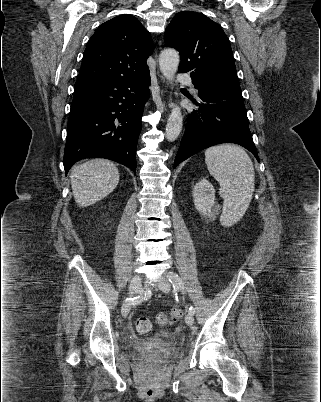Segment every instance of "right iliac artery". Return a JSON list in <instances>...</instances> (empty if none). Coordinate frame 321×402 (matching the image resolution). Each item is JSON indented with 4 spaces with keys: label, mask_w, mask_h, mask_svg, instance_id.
<instances>
[{
    "label": "right iliac artery",
    "mask_w": 321,
    "mask_h": 402,
    "mask_svg": "<svg viewBox=\"0 0 321 402\" xmlns=\"http://www.w3.org/2000/svg\"><path fill=\"white\" fill-rule=\"evenodd\" d=\"M139 298V297H138ZM125 302H128V303H136V302H138V299H137V297H135V298H126L125 299Z\"/></svg>",
    "instance_id": "1"
}]
</instances>
